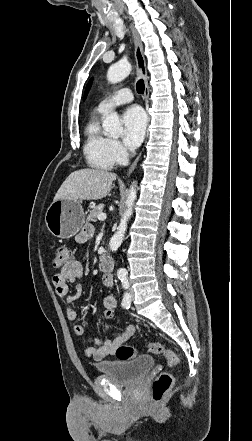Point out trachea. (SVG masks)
<instances>
[{"label":"trachea","mask_w":252,"mask_h":441,"mask_svg":"<svg viewBox=\"0 0 252 441\" xmlns=\"http://www.w3.org/2000/svg\"><path fill=\"white\" fill-rule=\"evenodd\" d=\"M136 90L139 94H143L145 90V84L142 79H140L136 84Z\"/></svg>","instance_id":"trachea-1"}]
</instances>
